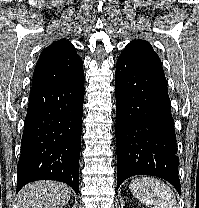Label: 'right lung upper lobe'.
<instances>
[{"label":"right lung upper lobe","mask_w":199,"mask_h":208,"mask_svg":"<svg viewBox=\"0 0 199 208\" xmlns=\"http://www.w3.org/2000/svg\"><path fill=\"white\" fill-rule=\"evenodd\" d=\"M83 74V61L74 46L61 39L42 51L34 70L32 90L70 82Z\"/></svg>","instance_id":"right-lung-upper-lobe-1"}]
</instances>
